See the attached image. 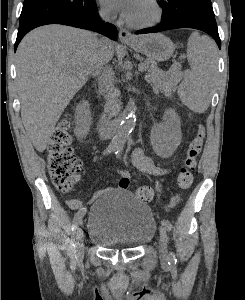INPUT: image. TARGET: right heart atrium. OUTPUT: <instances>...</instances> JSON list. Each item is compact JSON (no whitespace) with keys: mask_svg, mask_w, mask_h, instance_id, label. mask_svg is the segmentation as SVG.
<instances>
[{"mask_svg":"<svg viewBox=\"0 0 245 300\" xmlns=\"http://www.w3.org/2000/svg\"><path fill=\"white\" fill-rule=\"evenodd\" d=\"M100 14L105 19H107L109 17V12L104 8L101 9Z\"/></svg>","mask_w":245,"mask_h":300,"instance_id":"1","label":"right heart atrium"}]
</instances>
